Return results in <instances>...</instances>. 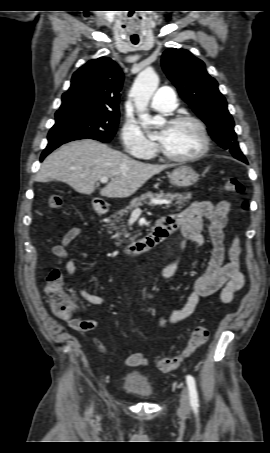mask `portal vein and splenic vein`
Returning <instances> with one entry per match:
<instances>
[{"label": "portal vein and splenic vein", "instance_id": "obj_1", "mask_svg": "<svg viewBox=\"0 0 270 453\" xmlns=\"http://www.w3.org/2000/svg\"><path fill=\"white\" fill-rule=\"evenodd\" d=\"M109 180L108 177H102L100 179L101 183H107ZM156 204H170V201H167V200H157L155 201ZM133 215H140L141 214V209L139 208H136L135 210H133L132 212Z\"/></svg>", "mask_w": 270, "mask_h": 453}]
</instances>
